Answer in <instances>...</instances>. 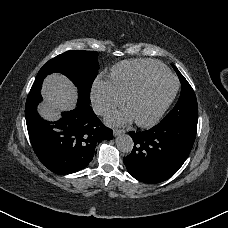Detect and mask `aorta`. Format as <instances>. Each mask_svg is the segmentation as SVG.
I'll use <instances>...</instances> for the list:
<instances>
[{
    "label": "aorta",
    "mask_w": 228,
    "mask_h": 228,
    "mask_svg": "<svg viewBox=\"0 0 228 228\" xmlns=\"http://www.w3.org/2000/svg\"><path fill=\"white\" fill-rule=\"evenodd\" d=\"M116 146L123 153H130L134 146L133 139L126 134H121L116 138Z\"/></svg>",
    "instance_id": "762f6f07"
}]
</instances>
